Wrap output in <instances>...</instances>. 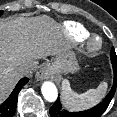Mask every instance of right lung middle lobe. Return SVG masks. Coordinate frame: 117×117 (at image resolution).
Segmentation results:
<instances>
[{
  "label": "right lung middle lobe",
  "instance_id": "right-lung-middle-lobe-1",
  "mask_svg": "<svg viewBox=\"0 0 117 117\" xmlns=\"http://www.w3.org/2000/svg\"><path fill=\"white\" fill-rule=\"evenodd\" d=\"M3 11H0V15H2Z\"/></svg>",
  "mask_w": 117,
  "mask_h": 117
}]
</instances>
